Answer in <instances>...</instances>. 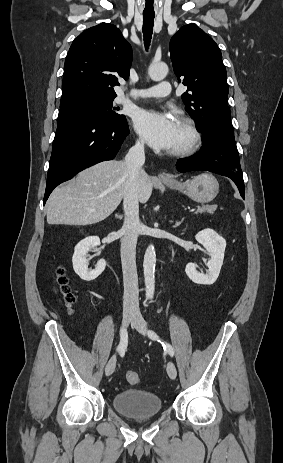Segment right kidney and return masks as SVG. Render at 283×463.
I'll use <instances>...</instances> for the list:
<instances>
[{
	"mask_svg": "<svg viewBox=\"0 0 283 463\" xmlns=\"http://www.w3.org/2000/svg\"><path fill=\"white\" fill-rule=\"evenodd\" d=\"M100 244V239L97 236H89L81 240L74 249L72 257L73 269L75 273L85 281H92L96 279L105 269L106 261L104 259L99 260L94 270L88 269L86 256L91 248H94Z\"/></svg>",
	"mask_w": 283,
	"mask_h": 463,
	"instance_id": "ca27d5eb",
	"label": "right kidney"
}]
</instances>
